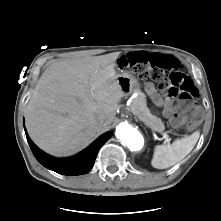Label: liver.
<instances>
[{
    "label": "liver",
    "instance_id": "6515ba94",
    "mask_svg": "<svg viewBox=\"0 0 221 221\" xmlns=\"http://www.w3.org/2000/svg\"><path fill=\"white\" fill-rule=\"evenodd\" d=\"M118 56L55 62L42 73L25 110L27 131L39 148L55 156L72 154L113 122L124 96L115 70Z\"/></svg>",
    "mask_w": 221,
    "mask_h": 221
}]
</instances>
